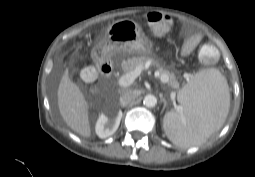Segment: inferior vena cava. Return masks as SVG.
I'll list each match as a JSON object with an SVG mask.
<instances>
[{
  "label": "inferior vena cava",
  "mask_w": 255,
  "mask_h": 177,
  "mask_svg": "<svg viewBox=\"0 0 255 177\" xmlns=\"http://www.w3.org/2000/svg\"><path fill=\"white\" fill-rule=\"evenodd\" d=\"M138 96L139 93L137 91H127L123 93L120 96V105L124 107L129 104H132L137 99Z\"/></svg>",
  "instance_id": "inferior-vena-cava-1"
}]
</instances>
